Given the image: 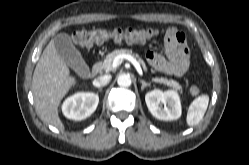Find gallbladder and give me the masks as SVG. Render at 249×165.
<instances>
[{
  "mask_svg": "<svg viewBox=\"0 0 249 165\" xmlns=\"http://www.w3.org/2000/svg\"><path fill=\"white\" fill-rule=\"evenodd\" d=\"M55 49L61 59L81 77H86L89 67L76 49L68 34H58L54 39Z\"/></svg>",
  "mask_w": 249,
  "mask_h": 165,
  "instance_id": "obj_1",
  "label": "gallbladder"
}]
</instances>
